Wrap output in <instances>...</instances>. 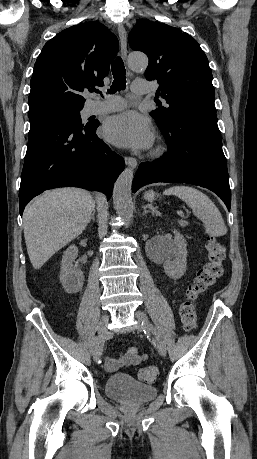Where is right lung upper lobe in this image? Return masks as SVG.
I'll return each instance as SVG.
<instances>
[{"mask_svg": "<svg viewBox=\"0 0 257 459\" xmlns=\"http://www.w3.org/2000/svg\"><path fill=\"white\" fill-rule=\"evenodd\" d=\"M118 47L117 37L98 22L74 25L57 34L36 60L30 82V113L83 107V92L103 85Z\"/></svg>", "mask_w": 257, "mask_h": 459, "instance_id": "cb5924a9", "label": "right lung upper lobe"}]
</instances>
